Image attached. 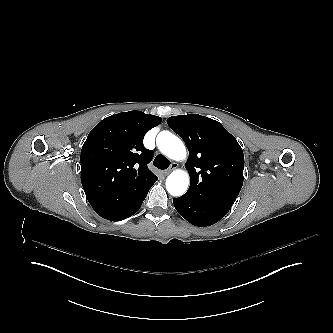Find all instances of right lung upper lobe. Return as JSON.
<instances>
[{"mask_svg": "<svg viewBox=\"0 0 333 333\" xmlns=\"http://www.w3.org/2000/svg\"><path fill=\"white\" fill-rule=\"evenodd\" d=\"M160 123V117L141 111L118 113L103 119L82 146L81 171L100 166L118 178L150 173L147 164L154 152L144 147L143 138Z\"/></svg>", "mask_w": 333, "mask_h": 333, "instance_id": "obj_1", "label": "right lung upper lobe"}]
</instances>
